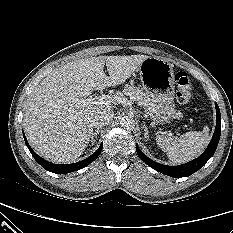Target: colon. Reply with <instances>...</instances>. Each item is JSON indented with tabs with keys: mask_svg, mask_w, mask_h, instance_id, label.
I'll list each match as a JSON object with an SVG mask.
<instances>
[{
	"mask_svg": "<svg viewBox=\"0 0 233 233\" xmlns=\"http://www.w3.org/2000/svg\"><path fill=\"white\" fill-rule=\"evenodd\" d=\"M175 82L177 85V101L181 105L189 104L193 98V84L191 79L185 72H177L175 74Z\"/></svg>",
	"mask_w": 233,
	"mask_h": 233,
	"instance_id": "1",
	"label": "colon"
}]
</instances>
